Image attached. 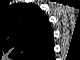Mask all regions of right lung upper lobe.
I'll list each match as a JSON object with an SVG mask.
<instances>
[{
  "label": "right lung upper lobe",
  "instance_id": "cb5924a9",
  "mask_svg": "<svg viewBox=\"0 0 80 60\" xmlns=\"http://www.w3.org/2000/svg\"><path fill=\"white\" fill-rule=\"evenodd\" d=\"M5 34L11 49L23 50V53L39 54L49 46L47 17L33 4L9 6Z\"/></svg>",
  "mask_w": 80,
  "mask_h": 60
}]
</instances>
